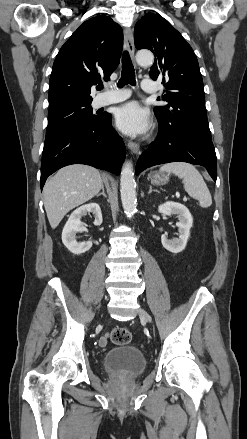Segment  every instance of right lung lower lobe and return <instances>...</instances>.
I'll return each mask as SVG.
<instances>
[{
  "mask_svg": "<svg viewBox=\"0 0 247 439\" xmlns=\"http://www.w3.org/2000/svg\"><path fill=\"white\" fill-rule=\"evenodd\" d=\"M126 155L122 138L112 128L111 115L91 123H76L46 133L41 162V189L48 176L71 164H87L119 174Z\"/></svg>",
  "mask_w": 247,
  "mask_h": 439,
  "instance_id": "obj_1",
  "label": "right lung lower lobe"
}]
</instances>
